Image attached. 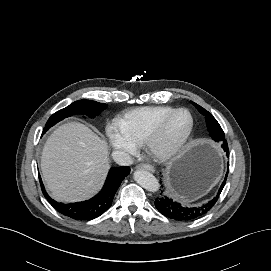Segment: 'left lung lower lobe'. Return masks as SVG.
<instances>
[{
	"mask_svg": "<svg viewBox=\"0 0 271 271\" xmlns=\"http://www.w3.org/2000/svg\"><path fill=\"white\" fill-rule=\"evenodd\" d=\"M221 147L226 152V155H228V145L226 140L222 141ZM227 175L225 176V180L223 181L218 194L212 198L207 203L197 206V207H183L179 203L173 201L171 198H169L166 195H163V191H161V197L156 198L155 200V206L158 209V211L163 214L164 216L178 220V221H192L195 219H198L202 216H204L208 211L211 210V208L215 205L217 202L219 195L225 185Z\"/></svg>",
	"mask_w": 271,
	"mask_h": 271,
	"instance_id": "left-lung-lower-lobe-1",
	"label": "left lung lower lobe"
}]
</instances>
